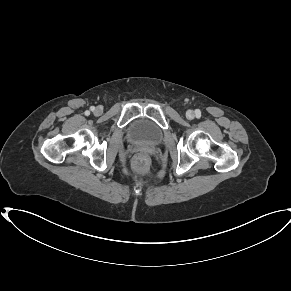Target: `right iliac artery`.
Listing matches in <instances>:
<instances>
[{
    "mask_svg": "<svg viewBox=\"0 0 291 291\" xmlns=\"http://www.w3.org/2000/svg\"><path fill=\"white\" fill-rule=\"evenodd\" d=\"M91 110H94V107H92ZM85 114H86V115H89V112L86 111Z\"/></svg>",
    "mask_w": 291,
    "mask_h": 291,
    "instance_id": "right-iliac-artery-1",
    "label": "right iliac artery"
}]
</instances>
